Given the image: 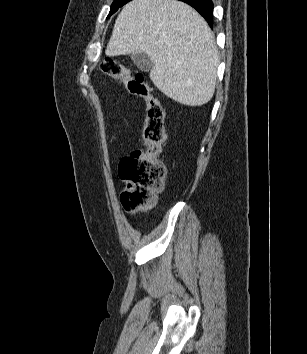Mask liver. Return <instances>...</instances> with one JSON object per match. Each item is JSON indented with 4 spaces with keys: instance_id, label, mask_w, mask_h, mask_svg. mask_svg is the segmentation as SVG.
<instances>
[{
    "instance_id": "1",
    "label": "liver",
    "mask_w": 307,
    "mask_h": 354,
    "mask_svg": "<svg viewBox=\"0 0 307 354\" xmlns=\"http://www.w3.org/2000/svg\"><path fill=\"white\" fill-rule=\"evenodd\" d=\"M147 54L150 79L167 97L201 106L213 97L219 55L199 13L177 0H132L118 15L105 54Z\"/></svg>"
}]
</instances>
